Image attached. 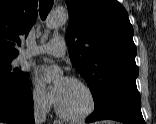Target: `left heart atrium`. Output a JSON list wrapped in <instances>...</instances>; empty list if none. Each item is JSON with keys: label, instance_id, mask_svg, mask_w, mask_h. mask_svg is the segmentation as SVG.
<instances>
[{"label": "left heart atrium", "instance_id": "1", "mask_svg": "<svg viewBox=\"0 0 156 124\" xmlns=\"http://www.w3.org/2000/svg\"><path fill=\"white\" fill-rule=\"evenodd\" d=\"M65 80L66 79H63L60 82H58L52 89V93H53L55 101H57V99L59 98V96L61 94V91H62L63 84H64Z\"/></svg>", "mask_w": 156, "mask_h": 124}]
</instances>
